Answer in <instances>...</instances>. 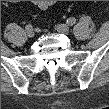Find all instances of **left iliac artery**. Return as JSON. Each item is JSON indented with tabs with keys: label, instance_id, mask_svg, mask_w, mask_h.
I'll list each match as a JSON object with an SVG mask.
<instances>
[{
	"label": "left iliac artery",
	"instance_id": "1",
	"mask_svg": "<svg viewBox=\"0 0 109 109\" xmlns=\"http://www.w3.org/2000/svg\"><path fill=\"white\" fill-rule=\"evenodd\" d=\"M66 23H67L68 25H73V24L76 23V19H75L74 17H70V18H68V19L66 20Z\"/></svg>",
	"mask_w": 109,
	"mask_h": 109
}]
</instances>
